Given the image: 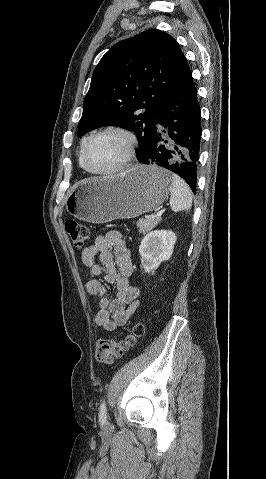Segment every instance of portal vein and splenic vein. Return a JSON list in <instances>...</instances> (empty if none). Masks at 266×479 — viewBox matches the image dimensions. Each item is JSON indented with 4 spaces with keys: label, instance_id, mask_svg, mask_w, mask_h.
<instances>
[{
    "label": "portal vein and splenic vein",
    "instance_id": "1",
    "mask_svg": "<svg viewBox=\"0 0 266 479\" xmlns=\"http://www.w3.org/2000/svg\"><path fill=\"white\" fill-rule=\"evenodd\" d=\"M163 215V211H158L155 215V217H161Z\"/></svg>",
    "mask_w": 266,
    "mask_h": 479
}]
</instances>
